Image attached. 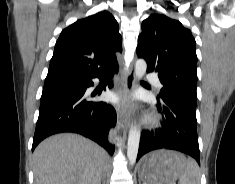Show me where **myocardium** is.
I'll use <instances>...</instances> for the list:
<instances>
[{
  "label": "myocardium",
  "instance_id": "1",
  "mask_svg": "<svg viewBox=\"0 0 235 184\" xmlns=\"http://www.w3.org/2000/svg\"><path fill=\"white\" fill-rule=\"evenodd\" d=\"M157 123H158V118L153 114H149L143 119V124L148 129H153L157 125Z\"/></svg>",
  "mask_w": 235,
  "mask_h": 184
}]
</instances>
